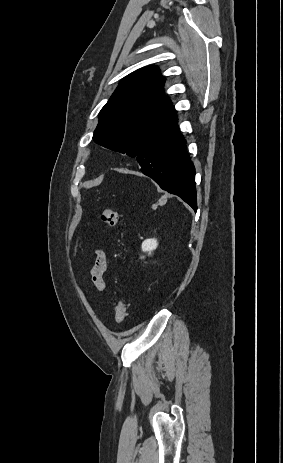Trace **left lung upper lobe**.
Masks as SVG:
<instances>
[{
    "label": "left lung upper lobe",
    "instance_id": "5c2ea615",
    "mask_svg": "<svg viewBox=\"0 0 283 463\" xmlns=\"http://www.w3.org/2000/svg\"><path fill=\"white\" fill-rule=\"evenodd\" d=\"M164 78L155 66L124 78L99 113L93 140L113 151L136 157L152 137L177 115L163 95Z\"/></svg>",
    "mask_w": 283,
    "mask_h": 463
}]
</instances>
